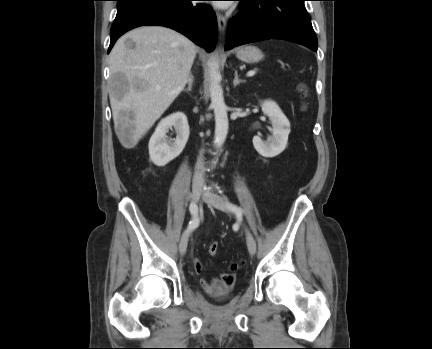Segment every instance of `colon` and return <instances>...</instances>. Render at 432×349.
<instances>
[{
	"instance_id": "5ec220e1",
	"label": "colon",
	"mask_w": 432,
	"mask_h": 349,
	"mask_svg": "<svg viewBox=\"0 0 432 349\" xmlns=\"http://www.w3.org/2000/svg\"><path fill=\"white\" fill-rule=\"evenodd\" d=\"M299 90L301 91V93L303 94V96L307 95V88L305 85H300ZM209 254L212 256H215L218 252V243L217 242H213L210 244L209 246ZM241 266V264H232L231 265V269L232 270H236L237 268H239Z\"/></svg>"
}]
</instances>
